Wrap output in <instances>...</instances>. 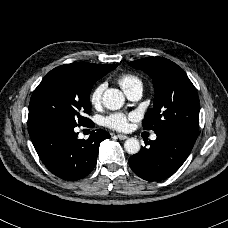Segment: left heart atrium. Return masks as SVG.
<instances>
[{"label": "left heart atrium", "mask_w": 228, "mask_h": 228, "mask_svg": "<svg viewBox=\"0 0 228 228\" xmlns=\"http://www.w3.org/2000/svg\"><path fill=\"white\" fill-rule=\"evenodd\" d=\"M130 116H126L122 113H113L105 117L104 124L117 131H125L129 126Z\"/></svg>", "instance_id": "39dd6f15"}]
</instances>
